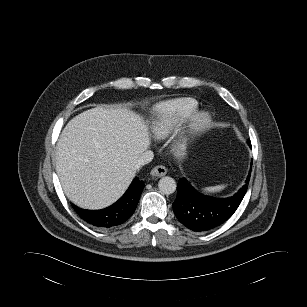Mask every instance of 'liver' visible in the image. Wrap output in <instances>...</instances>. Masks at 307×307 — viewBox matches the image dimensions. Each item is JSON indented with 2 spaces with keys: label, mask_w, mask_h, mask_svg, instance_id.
I'll return each instance as SVG.
<instances>
[{
  "label": "liver",
  "mask_w": 307,
  "mask_h": 307,
  "mask_svg": "<svg viewBox=\"0 0 307 307\" xmlns=\"http://www.w3.org/2000/svg\"><path fill=\"white\" fill-rule=\"evenodd\" d=\"M150 146L147 125L126 108L96 107L71 119L56 148V171L67 198L85 209L118 200Z\"/></svg>",
  "instance_id": "1"
}]
</instances>
